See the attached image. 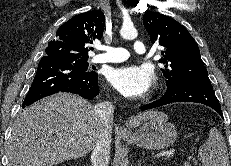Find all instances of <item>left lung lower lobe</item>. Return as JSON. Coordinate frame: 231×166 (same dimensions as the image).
Listing matches in <instances>:
<instances>
[{
    "instance_id": "obj_1",
    "label": "left lung lower lobe",
    "mask_w": 231,
    "mask_h": 166,
    "mask_svg": "<svg viewBox=\"0 0 231 166\" xmlns=\"http://www.w3.org/2000/svg\"><path fill=\"white\" fill-rule=\"evenodd\" d=\"M173 102H196L207 105L217 111L221 116L222 111L211 83L182 82L168 88L165 94L152 103L142 106L141 111L156 108Z\"/></svg>"
}]
</instances>
